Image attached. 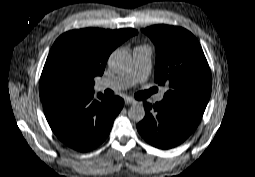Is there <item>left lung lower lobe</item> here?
<instances>
[{"label":"left lung lower lobe","mask_w":255,"mask_h":177,"mask_svg":"<svg viewBox=\"0 0 255 177\" xmlns=\"http://www.w3.org/2000/svg\"><path fill=\"white\" fill-rule=\"evenodd\" d=\"M144 103L145 118L137 130L151 145L169 149L182 143L197 127L207 103L163 99L154 105Z\"/></svg>","instance_id":"0a47b994"}]
</instances>
